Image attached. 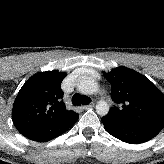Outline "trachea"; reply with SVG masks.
<instances>
[{"label": "trachea", "mask_w": 164, "mask_h": 164, "mask_svg": "<svg viewBox=\"0 0 164 164\" xmlns=\"http://www.w3.org/2000/svg\"><path fill=\"white\" fill-rule=\"evenodd\" d=\"M72 102L74 105H88L91 102V99L88 96L77 93L73 95Z\"/></svg>", "instance_id": "obj_1"}]
</instances>
